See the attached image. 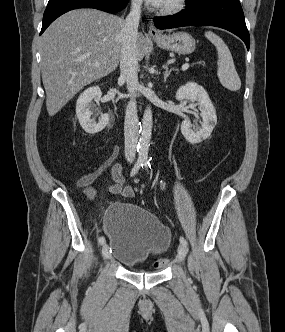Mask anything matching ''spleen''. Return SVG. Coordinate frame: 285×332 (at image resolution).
<instances>
[{
  "label": "spleen",
  "mask_w": 285,
  "mask_h": 332,
  "mask_svg": "<svg viewBox=\"0 0 285 332\" xmlns=\"http://www.w3.org/2000/svg\"><path fill=\"white\" fill-rule=\"evenodd\" d=\"M205 37L215 45L217 50V76L220 83L230 91L239 90L241 81L236 72L233 58L227 45L218 35L211 31L205 32Z\"/></svg>",
  "instance_id": "spleen-1"
}]
</instances>
